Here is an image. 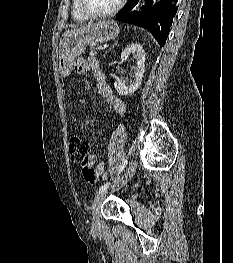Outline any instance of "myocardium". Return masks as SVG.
Returning a JSON list of instances; mask_svg holds the SVG:
<instances>
[{
    "mask_svg": "<svg viewBox=\"0 0 233 263\" xmlns=\"http://www.w3.org/2000/svg\"><path fill=\"white\" fill-rule=\"evenodd\" d=\"M126 1L127 0H119L118 3L113 8H111L110 10H107L104 12H99V13L91 12L90 10H88L84 5V0H78V4H79V8H80L81 12L87 18L99 19V18H106V17L112 16V15L118 13L123 8Z\"/></svg>",
    "mask_w": 233,
    "mask_h": 263,
    "instance_id": "myocardium-1",
    "label": "myocardium"
}]
</instances>
